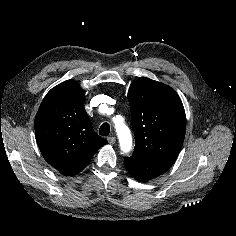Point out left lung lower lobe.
Here are the masks:
<instances>
[{"mask_svg":"<svg viewBox=\"0 0 236 236\" xmlns=\"http://www.w3.org/2000/svg\"><path fill=\"white\" fill-rule=\"evenodd\" d=\"M124 164L128 172L139 182H147L164 172H166L171 165L150 160L139 155H132L124 159Z\"/></svg>","mask_w":236,"mask_h":236,"instance_id":"1","label":"left lung lower lobe"}]
</instances>
